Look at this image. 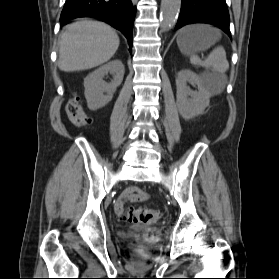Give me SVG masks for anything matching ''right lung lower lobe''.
<instances>
[{"label":"right lung lower lobe","mask_w":279,"mask_h":279,"mask_svg":"<svg viewBox=\"0 0 279 279\" xmlns=\"http://www.w3.org/2000/svg\"><path fill=\"white\" fill-rule=\"evenodd\" d=\"M136 7L131 0H66L61 25L78 17L98 18L120 30L132 48L133 21Z\"/></svg>","instance_id":"98d812e1"}]
</instances>
